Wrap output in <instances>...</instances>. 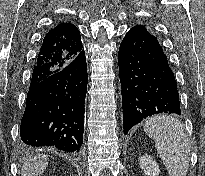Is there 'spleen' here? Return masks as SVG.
<instances>
[{"label": "spleen", "instance_id": "1", "mask_svg": "<svg viewBox=\"0 0 205 176\" xmlns=\"http://www.w3.org/2000/svg\"><path fill=\"white\" fill-rule=\"evenodd\" d=\"M143 128L155 140L169 176H186L191 148L183 124L174 117L156 115L149 118Z\"/></svg>", "mask_w": 205, "mask_h": 176}]
</instances>
